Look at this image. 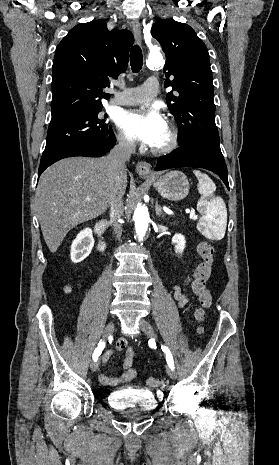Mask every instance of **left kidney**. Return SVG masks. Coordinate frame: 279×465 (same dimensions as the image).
Here are the masks:
<instances>
[{"label":"left kidney","instance_id":"1","mask_svg":"<svg viewBox=\"0 0 279 465\" xmlns=\"http://www.w3.org/2000/svg\"><path fill=\"white\" fill-rule=\"evenodd\" d=\"M172 244H174L176 253L178 254L183 253L185 246H186L185 237L182 234H175L172 238Z\"/></svg>","mask_w":279,"mask_h":465}]
</instances>
